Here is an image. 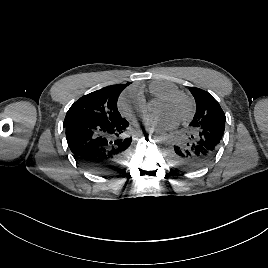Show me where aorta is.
Segmentation results:
<instances>
[{"label": "aorta", "mask_w": 268, "mask_h": 268, "mask_svg": "<svg viewBox=\"0 0 268 268\" xmlns=\"http://www.w3.org/2000/svg\"><path fill=\"white\" fill-rule=\"evenodd\" d=\"M154 138L157 142L162 143L166 140L167 135L164 131L159 130L155 133Z\"/></svg>", "instance_id": "1"}]
</instances>
